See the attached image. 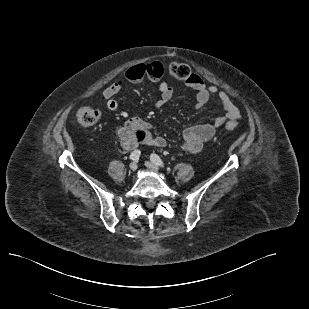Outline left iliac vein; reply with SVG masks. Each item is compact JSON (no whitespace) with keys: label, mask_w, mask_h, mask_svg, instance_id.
Wrapping results in <instances>:
<instances>
[{"label":"left iliac vein","mask_w":309,"mask_h":309,"mask_svg":"<svg viewBox=\"0 0 309 309\" xmlns=\"http://www.w3.org/2000/svg\"><path fill=\"white\" fill-rule=\"evenodd\" d=\"M145 165H146V167H147L149 170H151V171H153V172H158V171H159L158 166L155 165V164L152 163V162L147 161V162L145 163Z\"/></svg>","instance_id":"left-iliac-vein-1"}]
</instances>
